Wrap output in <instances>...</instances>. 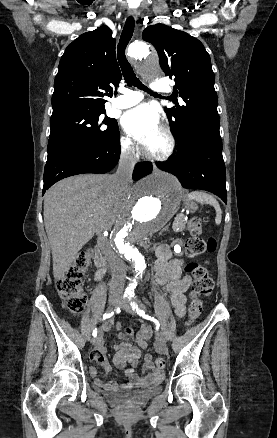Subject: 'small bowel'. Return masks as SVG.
<instances>
[{"instance_id": "c3829d8e", "label": "small bowel", "mask_w": 277, "mask_h": 438, "mask_svg": "<svg viewBox=\"0 0 277 438\" xmlns=\"http://www.w3.org/2000/svg\"><path fill=\"white\" fill-rule=\"evenodd\" d=\"M180 252L179 249L176 250ZM173 249L169 245H162L157 249L156 262H155V281L157 286H164L166 291L170 294L171 302L174 307V311L177 317H182L186 312V296L185 292L188 290L191 284L190 276L182 274L183 262L180 258L173 257ZM134 328L132 326H126L125 332L132 333ZM103 332L110 335V327L104 326ZM152 330L149 326H142L137 334V345L131 346L126 341H121L117 346V352L114 357V362L117 367H123L127 362L135 367L140 358V350L147 348V340L151 337ZM123 334H118L119 339H123ZM129 338V335H126ZM133 338V335H130ZM107 350L106 345L98 343L96 349L91 353V359L97 361L101 366L109 370L110 364L106 358L105 352ZM145 365L142 373L131 370L128 376L135 382L143 384L156 385L160 381L159 372H155L153 369V358L150 354H146L144 357ZM92 375L96 374L94 368L90 369ZM96 384L105 387L107 390H114L118 387L117 383L110 382L104 383L103 380L97 378Z\"/></svg>"}]
</instances>
